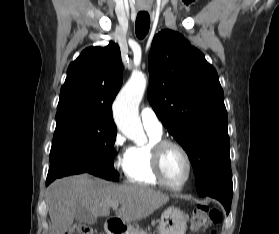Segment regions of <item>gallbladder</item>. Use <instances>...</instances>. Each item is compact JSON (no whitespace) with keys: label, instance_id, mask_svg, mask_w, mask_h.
I'll return each mask as SVG.
<instances>
[{"label":"gallbladder","instance_id":"obj_1","mask_svg":"<svg viewBox=\"0 0 279 234\" xmlns=\"http://www.w3.org/2000/svg\"><path fill=\"white\" fill-rule=\"evenodd\" d=\"M74 219L79 222L93 224L96 221V217L87 209L78 206L74 213Z\"/></svg>","mask_w":279,"mask_h":234}]
</instances>
